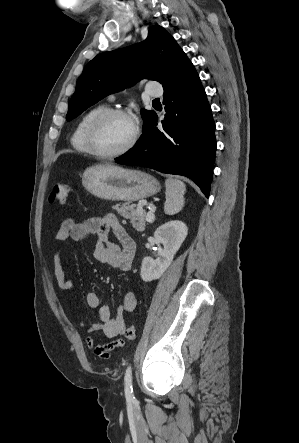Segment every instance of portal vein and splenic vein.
I'll return each mask as SVG.
<instances>
[{"instance_id":"portal-vein-and-splenic-vein-1","label":"portal vein and splenic vein","mask_w":299,"mask_h":443,"mask_svg":"<svg viewBox=\"0 0 299 443\" xmlns=\"http://www.w3.org/2000/svg\"><path fill=\"white\" fill-rule=\"evenodd\" d=\"M154 220H155L154 213H153V212H149V213L147 214L146 221H147L148 223H153Z\"/></svg>"}]
</instances>
